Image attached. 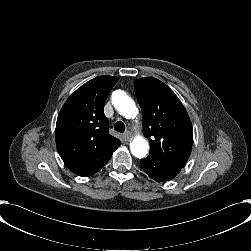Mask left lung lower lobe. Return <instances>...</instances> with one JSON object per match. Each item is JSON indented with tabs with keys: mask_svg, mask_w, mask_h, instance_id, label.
Segmentation results:
<instances>
[{
	"mask_svg": "<svg viewBox=\"0 0 251 251\" xmlns=\"http://www.w3.org/2000/svg\"><path fill=\"white\" fill-rule=\"evenodd\" d=\"M140 167L152 179L158 182L171 180L181 171V168L163 163L150 156L140 161Z\"/></svg>",
	"mask_w": 251,
	"mask_h": 251,
	"instance_id": "1",
	"label": "left lung lower lobe"
}]
</instances>
